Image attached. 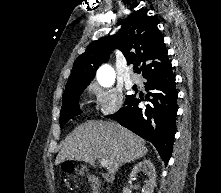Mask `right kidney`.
Returning a JSON list of instances; mask_svg holds the SVG:
<instances>
[{"label":"right kidney","mask_w":221,"mask_h":193,"mask_svg":"<svg viewBox=\"0 0 221 193\" xmlns=\"http://www.w3.org/2000/svg\"><path fill=\"white\" fill-rule=\"evenodd\" d=\"M145 172L148 176V180L142 188V193H153L156 186V171L155 167L150 160L144 159L136 164L130 173V178H134L138 172ZM123 193H131L130 189L126 186L123 188Z\"/></svg>","instance_id":"1"}]
</instances>
